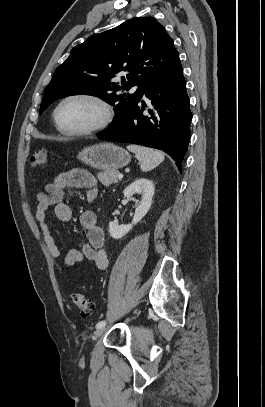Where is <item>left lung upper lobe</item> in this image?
<instances>
[{
  "instance_id": "left-lung-upper-lobe-1",
  "label": "left lung upper lobe",
  "mask_w": 265,
  "mask_h": 407,
  "mask_svg": "<svg viewBox=\"0 0 265 407\" xmlns=\"http://www.w3.org/2000/svg\"><path fill=\"white\" fill-rule=\"evenodd\" d=\"M180 64L172 38L155 18L126 21L89 37L71 50L44 91L40 113L65 96H97L115 107L109 131L130 115L150 83ZM119 72L125 73L121 83L114 81ZM136 85L138 89L134 93H127ZM120 91L124 93L119 94Z\"/></svg>"
}]
</instances>
